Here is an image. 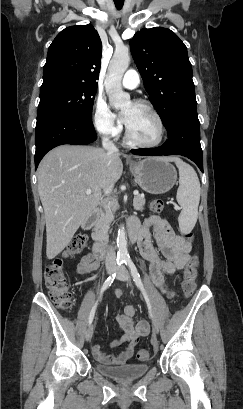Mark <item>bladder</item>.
<instances>
[{
	"label": "bladder",
	"mask_w": 243,
	"mask_h": 409,
	"mask_svg": "<svg viewBox=\"0 0 243 409\" xmlns=\"http://www.w3.org/2000/svg\"><path fill=\"white\" fill-rule=\"evenodd\" d=\"M97 372L117 381H131L143 377L149 370L148 364L128 363L118 366H107L96 363Z\"/></svg>",
	"instance_id": "obj_1"
}]
</instances>
